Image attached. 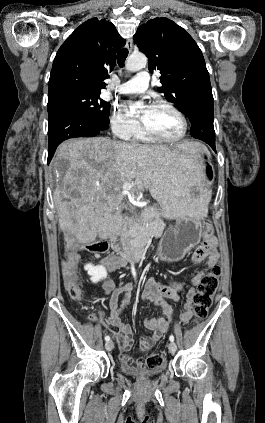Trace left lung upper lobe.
I'll list each match as a JSON object with an SVG mask.
<instances>
[{"mask_svg":"<svg viewBox=\"0 0 265 423\" xmlns=\"http://www.w3.org/2000/svg\"><path fill=\"white\" fill-rule=\"evenodd\" d=\"M148 57V69L161 73L160 93L187 114L192 99L211 90L202 52L193 38L168 18H155L138 27L133 36Z\"/></svg>","mask_w":265,"mask_h":423,"instance_id":"1","label":"left lung upper lobe"}]
</instances>
